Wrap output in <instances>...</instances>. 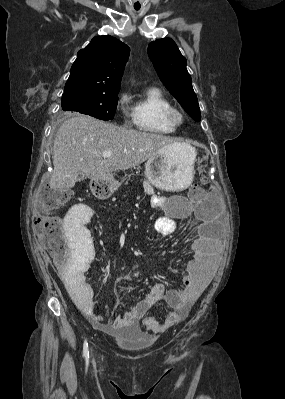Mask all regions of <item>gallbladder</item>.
I'll return each instance as SVG.
<instances>
[{
	"label": "gallbladder",
	"instance_id": "obj_1",
	"mask_svg": "<svg viewBox=\"0 0 285 399\" xmlns=\"http://www.w3.org/2000/svg\"><path fill=\"white\" fill-rule=\"evenodd\" d=\"M84 179H86V176H85V175H83V174H81V173H78V174H77L76 181L80 182V181H82V180H84Z\"/></svg>",
	"mask_w": 285,
	"mask_h": 399
}]
</instances>
